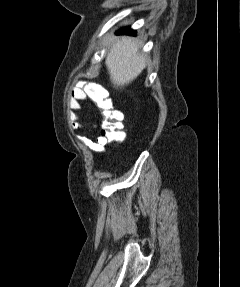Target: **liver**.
<instances>
[{"label":"liver","instance_id":"1","mask_svg":"<svg viewBox=\"0 0 240 287\" xmlns=\"http://www.w3.org/2000/svg\"><path fill=\"white\" fill-rule=\"evenodd\" d=\"M114 87H124L136 79L146 67V56L139 53L137 43L130 37L115 41L105 61Z\"/></svg>","mask_w":240,"mask_h":287}]
</instances>
